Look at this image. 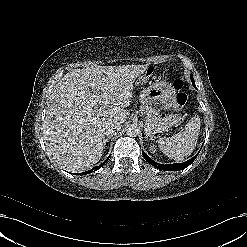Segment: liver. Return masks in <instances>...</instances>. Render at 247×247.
<instances>
[{"instance_id": "liver-1", "label": "liver", "mask_w": 247, "mask_h": 247, "mask_svg": "<svg viewBox=\"0 0 247 247\" xmlns=\"http://www.w3.org/2000/svg\"><path fill=\"white\" fill-rule=\"evenodd\" d=\"M147 68L91 66L67 73L55 85L43 120L49 158L71 172L96 164L103 154L105 125L126 121L133 83Z\"/></svg>"}]
</instances>
